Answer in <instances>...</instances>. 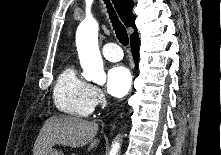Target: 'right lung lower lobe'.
<instances>
[{
  "label": "right lung lower lobe",
  "mask_w": 221,
  "mask_h": 155,
  "mask_svg": "<svg viewBox=\"0 0 221 155\" xmlns=\"http://www.w3.org/2000/svg\"><path fill=\"white\" fill-rule=\"evenodd\" d=\"M131 48L135 64L137 65L139 54V38L137 34L131 37Z\"/></svg>",
  "instance_id": "right-lung-lower-lobe-1"
}]
</instances>
